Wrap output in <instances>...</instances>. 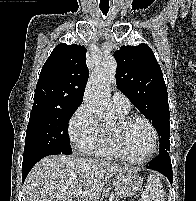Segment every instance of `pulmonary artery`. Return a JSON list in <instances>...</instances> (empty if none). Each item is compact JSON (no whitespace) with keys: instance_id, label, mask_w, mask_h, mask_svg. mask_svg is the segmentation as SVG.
Masks as SVG:
<instances>
[{"instance_id":"e3ab8cb5","label":"pulmonary artery","mask_w":196,"mask_h":201,"mask_svg":"<svg viewBox=\"0 0 196 201\" xmlns=\"http://www.w3.org/2000/svg\"><path fill=\"white\" fill-rule=\"evenodd\" d=\"M111 101L113 107L118 111L128 112L130 110V101L127 96L121 92H114Z\"/></svg>"}]
</instances>
